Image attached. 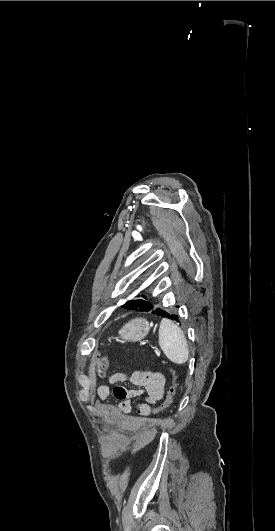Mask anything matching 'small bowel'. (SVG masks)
I'll list each match as a JSON object with an SVG mask.
<instances>
[{
	"instance_id": "1",
	"label": "small bowel",
	"mask_w": 275,
	"mask_h": 531,
	"mask_svg": "<svg viewBox=\"0 0 275 531\" xmlns=\"http://www.w3.org/2000/svg\"><path fill=\"white\" fill-rule=\"evenodd\" d=\"M129 381L134 386L140 388L128 389L126 399L117 406L105 404L103 409L108 415H125L132 409V400L143 395L144 401L137 404L136 410L140 417H148L151 414V405L162 399L166 378L164 374L153 371H135L130 377L123 372H114L109 376L110 385H119ZM97 395L100 400H107L111 396L109 385H101L97 389Z\"/></svg>"
}]
</instances>
